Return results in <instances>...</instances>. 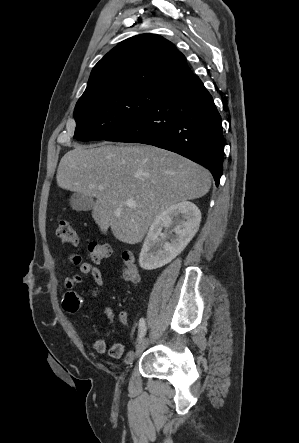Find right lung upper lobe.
<instances>
[{
  "mask_svg": "<svg viewBox=\"0 0 299 443\" xmlns=\"http://www.w3.org/2000/svg\"><path fill=\"white\" fill-rule=\"evenodd\" d=\"M191 75L185 56L170 41L141 34L119 43L94 66L80 99L120 88L164 91Z\"/></svg>",
  "mask_w": 299,
  "mask_h": 443,
  "instance_id": "cb5924a9",
  "label": "right lung upper lobe"
}]
</instances>
